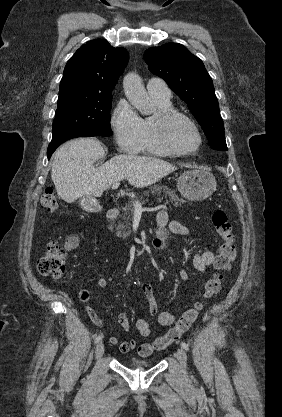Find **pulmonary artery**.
I'll list each match as a JSON object with an SVG mask.
<instances>
[{
    "label": "pulmonary artery",
    "mask_w": 282,
    "mask_h": 417,
    "mask_svg": "<svg viewBox=\"0 0 282 417\" xmlns=\"http://www.w3.org/2000/svg\"><path fill=\"white\" fill-rule=\"evenodd\" d=\"M147 91L149 95L153 99L169 101L171 98V90L167 86V84L159 79V78H152L147 82Z\"/></svg>",
    "instance_id": "1"
}]
</instances>
